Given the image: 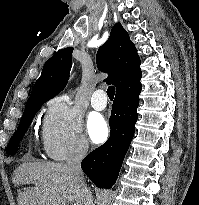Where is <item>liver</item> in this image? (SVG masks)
I'll use <instances>...</instances> for the list:
<instances>
[{"label":"liver","instance_id":"6515ba94","mask_svg":"<svg viewBox=\"0 0 199 205\" xmlns=\"http://www.w3.org/2000/svg\"><path fill=\"white\" fill-rule=\"evenodd\" d=\"M15 186L35 184L18 194V205H84V194L74 174L62 163L24 162L14 171Z\"/></svg>","mask_w":199,"mask_h":205}]
</instances>
